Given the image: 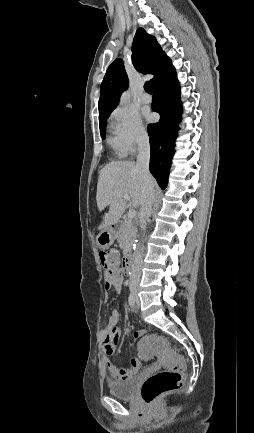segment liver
<instances>
[{
  "mask_svg": "<svg viewBox=\"0 0 254 433\" xmlns=\"http://www.w3.org/2000/svg\"><path fill=\"white\" fill-rule=\"evenodd\" d=\"M124 194L130 196L133 207L141 205L143 178L140 169L133 161L110 162L101 169L97 183L96 202L99 211L109 206L98 230H105L120 220L128 206Z\"/></svg>",
  "mask_w": 254,
  "mask_h": 433,
  "instance_id": "1",
  "label": "liver"
}]
</instances>
